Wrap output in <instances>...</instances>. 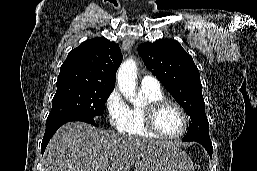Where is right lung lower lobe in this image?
Masks as SVG:
<instances>
[{"label": "right lung lower lobe", "instance_id": "1", "mask_svg": "<svg viewBox=\"0 0 257 171\" xmlns=\"http://www.w3.org/2000/svg\"><path fill=\"white\" fill-rule=\"evenodd\" d=\"M70 121H82L86 123H90L94 126H98L93 118L90 117H85L81 115H74V114H67V115H62L54 118L47 119L46 121V130L45 134L42 140V145H41V152L42 155L46 149V146L49 142V140L52 138L54 133L57 131V129L62 126L63 124L70 122Z\"/></svg>", "mask_w": 257, "mask_h": 171}]
</instances>
